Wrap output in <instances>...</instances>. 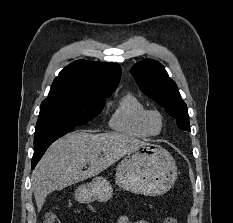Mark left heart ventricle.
Returning <instances> with one entry per match:
<instances>
[{
    "label": "left heart ventricle",
    "instance_id": "b2bd125f",
    "mask_svg": "<svg viewBox=\"0 0 233 223\" xmlns=\"http://www.w3.org/2000/svg\"><path fill=\"white\" fill-rule=\"evenodd\" d=\"M163 124L161 119L155 115L151 118V129L155 132L158 133L162 130Z\"/></svg>",
    "mask_w": 233,
    "mask_h": 223
}]
</instances>
